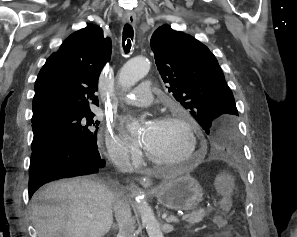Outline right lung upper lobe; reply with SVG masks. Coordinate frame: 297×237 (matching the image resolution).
<instances>
[{
	"label": "right lung upper lobe",
	"mask_w": 297,
	"mask_h": 237,
	"mask_svg": "<svg viewBox=\"0 0 297 237\" xmlns=\"http://www.w3.org/2000/svg\"><path fill=\"white\" fill-rule=\"evenodd\" d=\"M111 40L90 24L81 29L53 53L35 82L32 121L60 111L91 112L89 103L98 106V78L110 60Z\"/></svg>",
	"instance_id": "obj_1"
}]
</instances>
